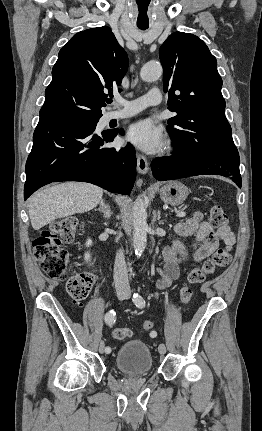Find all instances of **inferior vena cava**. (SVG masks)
Masks as SVG:
<instances>
[{"label": "inferior vena cava", "mask_w": 262, "mask_h": 431, "mask_svg": "<svg viewBox=\"0 0 262 431\" xmlns=\"http://www.w3.org/2000/svg\"><path fill=\"white\" fill-rule=\"evenodd\" d=\"M114 283L117 290L130 291L128 273L122 251H119L116 254L114 264Z\"/></svg>", "instance_id": "inferior-vena-cava-1"}]
</instances>
